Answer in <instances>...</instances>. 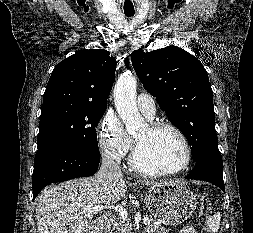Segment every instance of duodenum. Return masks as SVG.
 <instances>
[{"instance_id": "1", "label": "duodenum", "mask_w": 253, "mask_h": 233, "mask_svg": "<svg viewBox=\"0 0 253 233\" xmlns=\"http://www.w3.org/2000/svg\"><path fill=\"white\" fill-rule=\"evenodd\" d=\"M111 220H112V218L110 215L102 216L100 218L99 225L94 228L93 233H106V230H107L108 226L110 225Z\"/></svg>"}]
</instances>
